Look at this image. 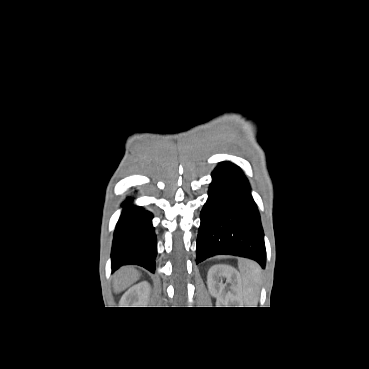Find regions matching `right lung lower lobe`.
I'll return each mask as SVG.
<instances>
[{
    "label": "right lung lower lobe",
    "instance_id": "1",
    "mask_svg": "<svg viewBox=\"0 0 369 369\" xmlns=\"http://www.w3.org/2000/svg\"><path fill=\"white\" fill-rule=\"evenodd\" d=\"M128 199L117 224L112 246V271L121 266L135 264L154 273L156 236L151 224V213L130 205Z\"/></svg>",
    "mask_w": 369,
    "mask_h": 369
}]
</instances>
